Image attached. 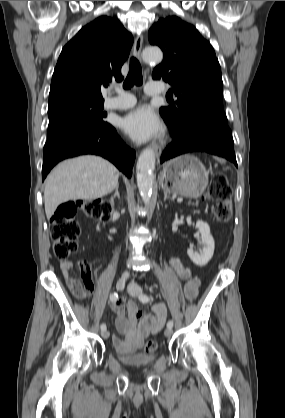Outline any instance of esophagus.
<instances>
[{
    "label": "esophagus",
    "mask_w": 285,
    "mask_h": 418,
    "mask_svg": "<svg viewBox=\"0 0 285 418\" xmlns=\"http://www.w3.org/2000/svg\"><path fill=\"white\" fill-rule=\"evenodd\" d=\"M143 44V36L141 34L137 35L134 45H133V54L137 59H141V50ZM153 148L156 154V157L159 158L162 153L161 147L157 143H153Z\"/></svg>",
    "instance_id": "1"
}]
</instances>
